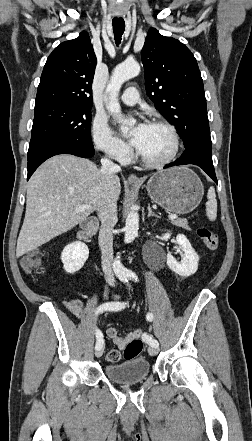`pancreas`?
Here are the masks:
<instances>
[{
  "label": "pancreas",
  "instance_id": "obj_1",
  "mask_svg": "<svg viewBox=\"0 0 252 441\" xmlns=\"http://www.w3.org/2000/svg\"><path fill=\"white\" fill-rule=\"evenodd\" d=\"M173 225L177 226V227H181L185 230H190L189 226H188V222L185 219H178L172 222Z\"/></svg>",
  "mask_w": 252,
  "mask_h": 441
}]
</instances>
